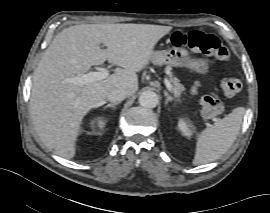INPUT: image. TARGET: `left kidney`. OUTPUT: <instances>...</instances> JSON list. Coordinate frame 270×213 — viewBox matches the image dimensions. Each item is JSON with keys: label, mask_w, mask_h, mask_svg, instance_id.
<instances>
[{"label": "left kidney", "mask_w": 270, "mask_h": 213, "mask_svg": "<svg viewBox=\"0 0 270 213\" xmlns=\"http://www.w3.org/2000/svg\"><path fill=\"white\" fill-rule=\"evenodd\" d=\"M178 128L184 136L190 137L193 134V126L186 119H179Z\"/></svg>", "instance_id": "obj_1"}]
</instances>
